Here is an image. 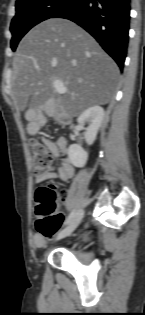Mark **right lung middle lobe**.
<instances>
[{"instance_id":"right-lung-middle-lobe-1","label":"right lung middle lobe","mask_w":145,"mask_h":315,"mask_svg":"<svg viewBox=\"0 0 145 315\" xmlns=\"http://www.w3.org/2000/svg\"><path fill=\"white\" fill-rule=\"evenodd\" d=\"M73 0H20L16 2V15L12 19L11 48L15 51L21 38L38 23L53 18Z\"/></svg>"}]
</instances>
